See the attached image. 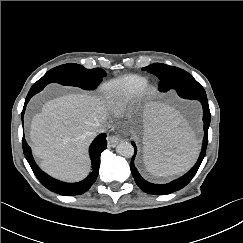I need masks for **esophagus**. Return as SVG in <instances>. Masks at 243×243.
I'll return each instance as SVG.
<instances>
[{"instance_id":"1","label":"esophagus","mask_w":243,"mask_h":243,"mask_svg":"<svg viewBox=\"0 0 243 243\" xmlns=\"http://www.w3.org/2000/svg\"><path fill=\"white\" fill-rule=\"evenodd\" d=\"M122 140H123V137H121L119 135H113L109 138V146L114 148Z\"/></svg>"}]
</instances>
